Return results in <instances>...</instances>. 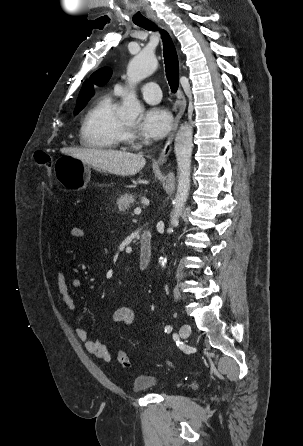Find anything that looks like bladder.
Here are the masks:
<instances>
[{"label": "bladder", "mask_w": 303, "mask_h": 446, "mask_svg": "<svg viewBox=\"0 0 303 446\" xmlns=\"http://www.w3.org/2000/svg\"><path fill=\"white\" fill-rule=\"evenodd\" d=\"M159 384L158 379L152 375H139L133 382L135 392H145L154 389Z\"/></svg>", "instance_id": "31cf9c89"}]
</instances>
